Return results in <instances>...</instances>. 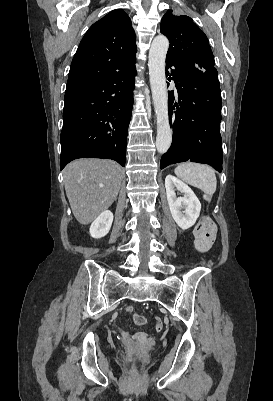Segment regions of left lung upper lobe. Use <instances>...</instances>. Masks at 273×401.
Listing matches in <instances>:
<instances>
[{
  "mask_svg": "<svg viewBox=\"0 0 273 401\" xmlns=\"http://www.w3.org/2000/svg\"><path fill=\"white\" fill-rule=\"evenodd\" d=\"M160 32L170 45L167 57L190 68L206 70L214 67V56L204 32L186 15H175L171 10L162 17Z\"/></svg>",
  "mask_w": 273,
  "mask_h": 401,
  "instance_id": "5c2ea615",
  "label": "left lung upper lobe"
}]
</instances>
